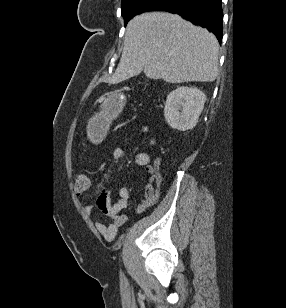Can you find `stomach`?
<instances>
[{
	"instance_id": "obj_1",
	"label": "stomach",
	"mask_w": 286,
	"mask_h": 308,
	"mask_svg": "<svg viewBox=\"0 0 286 308\" xmlns=\"http://www.w3.org/2000/svg\"><path fill=\"white\" fill-rule=\"evenodd\" d=\"M124 97L119 89H108L105 97H101L99 109H93V117H91L90 129H110V124H116V110H122ZM91 142H102L103 136L101 130H94L90 136Z\"/></svg>"
}]
</instances>
